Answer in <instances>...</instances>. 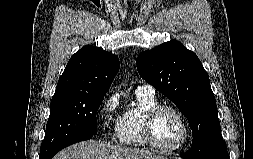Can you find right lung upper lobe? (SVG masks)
Returning <instances> with one entry per match:
<instances>
[{"label":"right lung upper lobe","instance_id":"1","mask_svg":"<svg viewBox=\"0 0 253 159\" xmlns=\"http://www.w3.org/2000/svg\"><path fill=\"white\" fill-rule=\"evenodd\" d=\"M119 71V59L101 48L86 45L69 60L53 98L104 94Z\"/></svg>","mask_w":253,"mask_h":159}]
</instances>
